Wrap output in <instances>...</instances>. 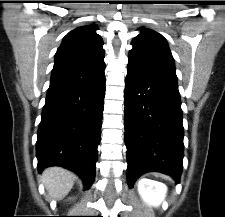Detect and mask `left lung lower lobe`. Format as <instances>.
Returning <instances> with one entry per match:
<instances>
[{"mask_svg": "<svg viewBox=\"0 0 225 217\" xmlns=\"http://www.w3.org/2000/svg\"><path fill=\"white\" fill-rule=\"evenodd\" d=\"M125 144L131 188L145 172L158 171L180 181L183 125L177 81L127 68Z\"/></svg>", "mask_w": 225, "mask_h": 217, "instance_id": "left-lung-lower-lobe-1", "label": "left lung lower lobe"}]
</instances>
